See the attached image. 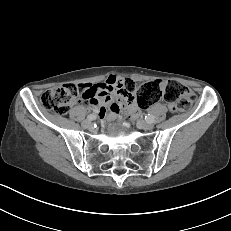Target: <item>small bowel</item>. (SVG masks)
<instances>
[{
  "label": "small bowel",
  "mask_w": 231,
  "mask_h": 231,
  "mask_svg": "<svg viewBox=\"0 0 231 231\" xmlns=\"http://www.w3.org/2000/svg\"><path fill=\"white\" fill-rule=\"evenodd\" d=\"M124 81L125 78L122 76L110 75L99 84H81L90 92L81 102H87L99 108L100 115H105L106 106L109 107L110 116L119 113L122 107L138 113L132 95L122 87ZM114 98H116L115 101Z\"/></svg>",
  "instance_id": "c3829d8e"
}]
</instances>
